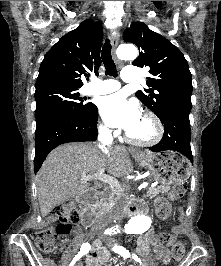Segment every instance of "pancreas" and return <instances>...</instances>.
I'll return each instance as SVG.
<instances>
[{"mask_svg":"<svg viewBox=\"0 0 221 266\" xmlns=\"http://www.w3.org/2000/svg\"><path fill=\"white\" fill-rule=\"evenodd\" d=\"M170 190L169 185H161L154 188H149L148 196L151 198L159 195L161 193H168ZM123 190L117 187H114L110 190H106L100 199L96 202L95 206L98 209H110L111 206L122 196Z\"/></svg>","mask_w":221,"mask_h":266,"instance_id":"1","label":"pancreas"}]
</instances>
